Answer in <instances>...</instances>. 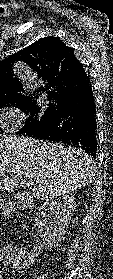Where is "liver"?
I'll use <instances>...</instances> for the list:
<instances>
[{
    "label": "liver",
    "instance_id": "1",
    "mask_svg": "<svg viewBox=\"0 0 113 279\" xmlns=\"http://www.w3.org/2000/svg\"><path fill=\"white\" fill-rule=\"evenodd\" d=\"M96 164L82 149L28 137L0 139V192L13 191L22 178L32 198L55 200L87 186ZM9 174L10 179H2Z\"/></svg>",
    "mask_w": 113,
    "mask_h": 279
}]
</instances>
